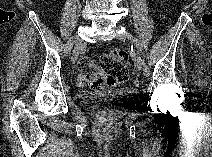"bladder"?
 Wrapping results in <instances>:
<instances>
[{"label": "bladder", "mask_w": 212, "mask_h": 157, "mask_svg": "<svg viewBox=\"0 0 212 157\" xmlns=\"http://www.w3.org/2000/svg\"><path fill=\"white\" fill-rule=\"evenodd\" d=\"M137 92L130 87L109 88L105 90L80 92L76 96V102L85 110L95 114H107L115 119L122 115L121 106L127 105ZM105 104H116L114 109H103Z\"/></svg>", "instance_id": "bladder-1"}]
</instances>
